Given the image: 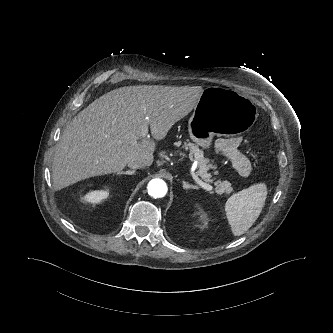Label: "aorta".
Instances as JSON below:
<instances>
[{
    "mask_svg": "<svg viewBox=\"0 0 333 333\" xmlns=\"http://www.w3.org/2000/svg\"><path fill=\"white\" fill-rule=\"evenodd\" d=\"M148 194L153 198H163L168 191L167 184L164 180L155 178L152 179L147 186Z\"/></svg>",
    "mask_w": 333,
    "mask_h": 333,
    "instance_id": "aorta-1",
    "label": "aorta"
}]
</instances>
